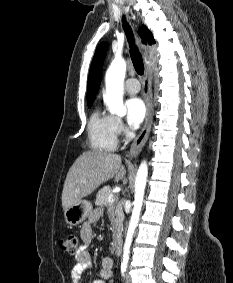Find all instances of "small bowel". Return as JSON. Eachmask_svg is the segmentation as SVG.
<instances>
[{"mask_svg":"<svg viewBox=\"0 0 233 283\" xmlns=\"http://www.w3.org/2000/svg\"><path fill=\"white\" fill-rule=\"evenodd\" d=\"M100 214L99 210L94 211L81 228L80 235L82 244L76 254V262L71 271L72 283H81L83 272L91 265V256L88 247L93 240L92 224L100 217ZM112 267L113 260L110 257L104 258L102 260L100 277L94 280L93 283H106L112 275Z\"/></svg>","mask_w":233,"mask_h":283,"instance_id":"1","label":"small bowel"}]
</instances>
